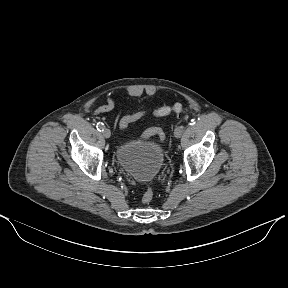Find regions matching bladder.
<instances>
[{
  "mask_svg": "<svg viewBox=\"0 0 288 288\" xmlns=\"http://www.w3.org/2000/svg\"><path fill=\"white\" fill-rule=\"evenodd\" d=\"M164 158V148L153 141H124L115 149L118 166L131 178L142 183L156 178Z\"/></svg>",
  "mask_w": 288,
  "mask_h": 288,
  "instance_id": "31cf9c89",
  "label": "bladder"
}]
</instances>
